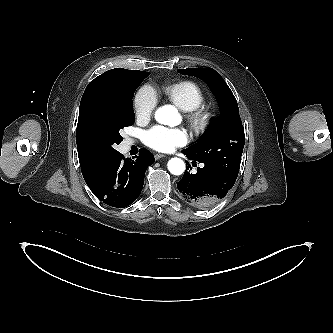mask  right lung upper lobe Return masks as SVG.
<instances>
[{
  "label": "right lung upper lobe",
  "instance_id": "right-lung-upper-lobe-1",
  "mask_svg": "<svg viewBox=\"0 0 333 333\" xmlns=\"http://www.w3.org/2000/svg\"><path fill=\"white\" fill-rule=\"evenodd\" d=\"M138 70L115 68L104 72L92 80L82 96L76 130V143L79 162L86 183L91 182L110 160L95 156L86 141L87 127L95 110L96 102L101 95L114 89L136 74Z\"/></svg>",
  "mask_w": 333,
  "mask_h": 333
}]
</instances>
